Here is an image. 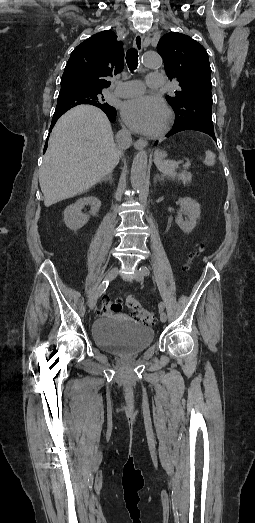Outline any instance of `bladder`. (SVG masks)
I'll list each match as a JSON object with an SVG mask.
<instances>
[{
	"instance_id": "31cf9c89",
	"label": "bladder",
	"mask_w": 255,
	"mask_h": 523,
	"mask_svg": "<svg viewBox=\"0 0 255 523\" xmlns=\"http://www.w3.org/2000/svg\"><path fill=\"white\" fill-rule=\"evenodd\" d=\"M91 337L102 350L128 354L152 345L154 333L152 327L145 324L105 316L94 323Z\"/></svg>"
}]
</instances>
